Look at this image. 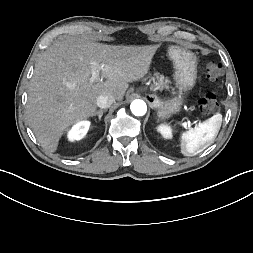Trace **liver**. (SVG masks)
<instances>
[{"instance_id":"6515ba94","label":"liver","mask_w":253,"mask_h":253,"mask_svg":"<svg viewBox=\"0 0 253 253\" xmlns=\"http://www.w3.org/2000/svg\"><path fill=\"white\" fill-rule=\"evenodd\" d=\"M158 47L107 45L75 37L49 47L35 65L26 105L27 123L43 149L55 152L72 125L94 116L100 95L121 101L128 83L147 74ZM93 68L105 82H90Z\"/></svg>"}]
</instances>
